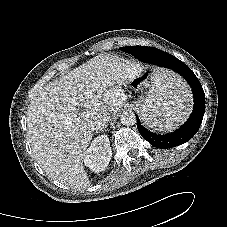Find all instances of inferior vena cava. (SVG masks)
Listing matches in <instances>:
<instances>
[{"label": "inferior vena cava", "instance_id": "obj_1", "mask_svg": "<svg viewBox=\"0 0 227 227\" xmlns=\"http://www.w3.org/2000/svg\"><path fill=\"white\" fill-rule=\"evenodd\" d=\"M110 119V117H108L107 119H104V120H99L97 122V127L98 129H102V127L106 126L107 125V121Z\"/></svg>", "mask_w": 227, "mask_h": 227}]
</instances>
